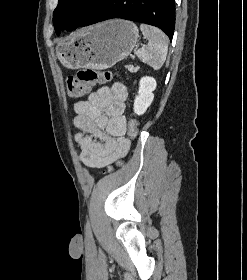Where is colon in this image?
I'll return each mask as SVG.
<instances>
[{"mask_svg": "<svg viewBox=\"0 0 247 280\" xmlns=\"http://www.w3.org/2000/svg\"><path fill=\"white\" fill-rule=\"evenodd\" d=\"M111 79L109 71H100L92 68L81 69L74 76H69L66 81L67 92L71 97H80L88 93L91 87L103 84ZM139 128L135 118L128 122V136L135 139L138 136Z\"/></svg>", "mask_w": 247, "mask_h": 280, "instance_id": "1", "label": "colon"}]
</instances>
